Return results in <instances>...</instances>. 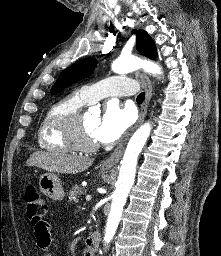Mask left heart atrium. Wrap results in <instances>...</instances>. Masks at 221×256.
I'll return each instance as SVG.
<instances>
[{"instance_id":"left-heart-atrium-1","label":"left heart atrium","mask_w":221,"mask_h":256,"mask_svg":"<svg viewBox=\"0 0 221 256\" xmlns=\"http://www.w3.org/2000/svg\"><path fill=\"white\" fill-rule=\"evenodd\" d=\"M134 119V112L130 108L121 107L117 102H109L93 136L97 142H115L132 125Z\"/></svg>"}]
</instances>
